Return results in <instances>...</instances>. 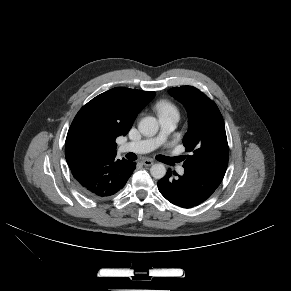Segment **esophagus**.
<instances>
[{
    "mask_svg": "<svg viewBox=\"0 0 291 291\" xmlns=\"http://www.w3.org/2000/svg\"><path fill=\"white\" fill-rule=\"evenodd\" d=\"M141 163H142L143 165H145V166H151V165L154 164V161L151 160V159H143V160L141 161Z\"/></svg>",
    "mask_w": 291,
    "mask_h": 291,
    "instance_id": "34e87169",
    "label": "esophagus"
}]
</instances>
